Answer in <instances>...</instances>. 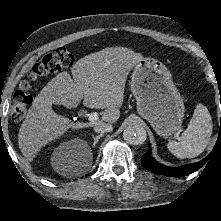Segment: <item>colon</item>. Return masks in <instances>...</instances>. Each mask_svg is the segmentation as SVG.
Masks as SVG:
<instances>
[{
  "label": "colon",
  "mask_w": 221,
  "mask_h": 221,
  "mask_svg": "<svg viewBox=\"0 0 221 221\" xmlns=\"http://www.w3.org/2000/svg\"><path fill=\"white\" fill-rule=\"evenodd\" d=\"M74 63L73 54L66 48H58L46 54L34 65L28 78L22 81L13 96L11 117L14 121H21L33 101L31 94L33 83L41 78L58 73Z\"/></svg>",
  "instance_id": "obj_1"
}]
</instances>
